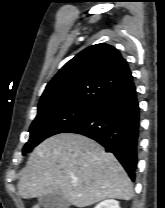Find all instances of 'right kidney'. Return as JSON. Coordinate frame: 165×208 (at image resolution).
I'll list each match as a JSON object with an SVG mask.
<instances>
[{
	"instance_id": "right-kidney-1",
	"label": "right kidney",
	"mask_w": 165,
	"mask_h": 208,
	"mask_svg": "<svg viewBox=\"0 0 165 208\" xmlns=\"http://www.w3.org/2000/svg\"><path fill=\"white\" fill-rule=\"evenodd\" d=\"M94 208H120L119 202L114 199H108L105 201H102L98 205H96Z\"/></svg>"
}]
</instances>
